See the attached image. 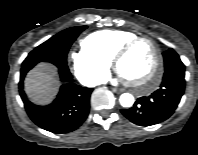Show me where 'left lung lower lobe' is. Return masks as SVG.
<instances>
[{
	"mask_svg": "<svg viewBox=\"0 0 198 155\" xmlns=\"http://www.w3.org/2000/svg\"><path fill=\"white\" fill-rule=\"evenodd\" d=\"M185 67L167 69L160 88L148 97H141L133 107L122 109L123 115L141 126L158 124L168 119L177 108L185 89Z\"/></svg>",
	"mask_w": 198,
	"mask_h": 155,
	"instance_id": "obj_1",
	"label": "left lung lower lobe"
}]
</instances>
